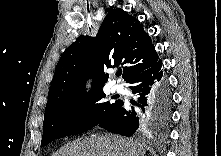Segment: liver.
<instances>
[{
	"label": "liver",
	"instance_id": "obj_1",
	"mask_svg": "<svg viewBox=\"0 0 221 156\" xmlns=\"http://www.w3.org/2000/svg\"><path fill=\"white\" fill-rule=\"evenodd\" d=\"M146 147L118 135L91 136L65 145L54 156H144Z\"/></svg>",
	"mask_w": 221,
	"mask_h": 156
}]
</instances>
